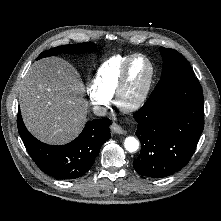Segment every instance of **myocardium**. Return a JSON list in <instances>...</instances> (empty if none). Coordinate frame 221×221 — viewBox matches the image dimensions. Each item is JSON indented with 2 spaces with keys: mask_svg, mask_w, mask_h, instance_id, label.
I'll list each match as a JSON object with an SVG mask.
<instances>
[{
  "mask_svg": "<svg viewBox=\"0 0 221 221\" xmlns=\"http://www.w3.org/2000/svg\"><path fill=\"white\" fill-rule=\"evenodd\" d=\"M138 58H142L148 63L150 72H149L147 82L143 90L141 91L140 95L132 102L127 103L125 102V94H126L127 85H128L129 72H130V68L133 62ZM154 77H155V67L151 59L144 54H140V53L133 54L125 63L122 69L121 75H120L119 83H118L116 93L114 96L115 104L117 105V107L121 111L126 112V113L137 111L145 103L149 95L150 89L152 87Z\"/></svg>",
  "mask_w": 221,
  "mask_h": 221,
  "instance_id": "f54148a6",
  "label": "myocardium"
}]
</instances>
